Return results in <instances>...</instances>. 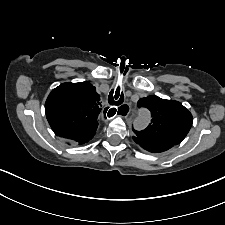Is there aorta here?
Wrapping results in <instances>:
<instances>
[{
  "label": "aorta",
  "mask_w": 225,
  "mask_h": 225,
  "mask_svg": "<svg viewBox=\"0 0 225 225\" xmlns=\"http://www.w3.org/2000/svg\"><path fill=\"white\" fill-rule=\"evenodd\" d=\"M150 122V115L149 113L140 114L135 120H134V127L137 130L144 129L148 123Z\"/></svg>",
  "instance_id": "obj_1"
}]
</instances>
